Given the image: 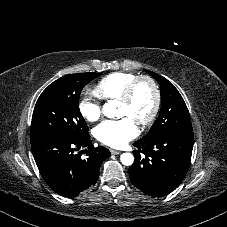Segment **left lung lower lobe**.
Returning a JSON list of instances; mask_svg holds the SVG:
<instances>
[{
    "mask_svg": "<svg viewBox=\"0 0 227 227\" xmlns=\"http://www.w3.org/2000/svg\"><path fill=\"white\" fill-rule=\"evenodd\" d=\"M193 133L136 141L135 161L129 168L135 187L153 197L168 195L185 177L191 161Z\"/></svg>",
    "mask_w": 227,
    "mask_h": 227,
    "instance_id": "0a47b994",
    "label": "left lung lower lobe"
}]
</instances>
